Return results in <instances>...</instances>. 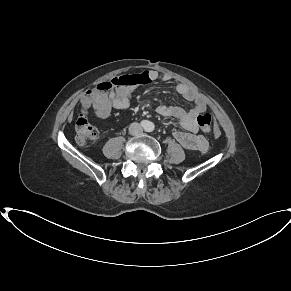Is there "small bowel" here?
<instances>
[{"label":"small bowel","instance_id":"1","mask_svg":"<svg viewBox=\"0 0 291 291\" xmlns=\"http://www.w3.org/2000/svg\"><path fill=\"white\" fill-rule=\"evenodd\" d=\"M139 77L141 80L153 81L159 78V74L157 71L150 70ZM170 78L171 76L168 74L161 77L163 81H168ZM176 91L184 99L193 102V106L189 109H183L173 105H159L156 108V112L163 117H172L179 121L180 126L185 131H175L173 135L184 148L204 152L208 143L202 135L198 134L197 117L206 111V101L185 83H179L176 86ZM133 93L134 87L128 86L110 93L109 97L95 100L93 105L95 114L100 118H104L109 114L112 107L127 109L130 106Z\"/></svg>","mask_w":291,"mask_h":291}]
</instances>
